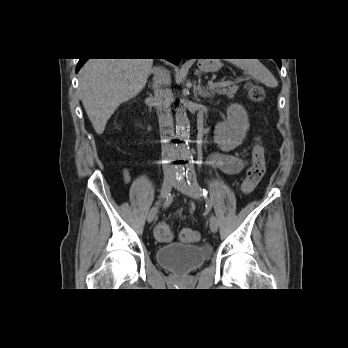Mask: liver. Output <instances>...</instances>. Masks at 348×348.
<instances>
[{
    "mask_svg": "<svg viewBox=\"0 0 348 348\" xmlns=\"http://www.w3.org/2000/svg\"><path fill=\"white\" fill-rule=\"evenodd\" d=\"M153 59H89L79 71V94L97 134L122 104L145 87Z\"/></svg>",
    "mask_w": 348,
    "mask_h": 348,
    "instance_id": "obj_1",
    "label": "liver"
}]
</instances>
